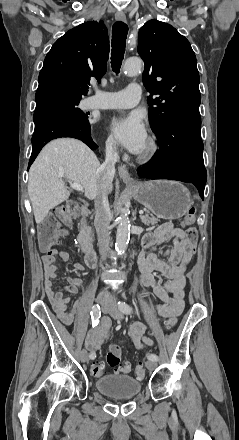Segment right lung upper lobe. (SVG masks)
<instances>
[{
  "label": "right lung upper lobe",
  "instance_id": "cb5924a9",
  "mask_svg": "<svg viewBox=\"0 0 239 440\" xmlns=\"http://www.w3.org/2000/svg\"><path fill=\"white\" fill-rule=\"evenodd\" d=\"M102 27L104 30H102ZM109 39L103 21L86 22L67 31L52 46L39 74L35 100L86 95L90 78L106 72Z\"/></svg>",
  "mask_w": 239,
  "mask_h": 440
}]
</instances>
